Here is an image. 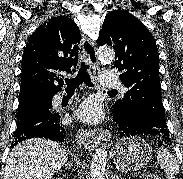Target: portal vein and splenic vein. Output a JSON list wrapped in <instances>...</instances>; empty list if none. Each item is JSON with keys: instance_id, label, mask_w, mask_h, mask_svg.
<instances>
[{"instance_id": "1", "label": "portal vein and splenic vein", "mask_w": 183, "mask_h": 179, "mask_svg": "<svg viewBox=\"0 0 183 179\" xmlns=\"http://www.w3.org/2000/svg\"><path fill=\"white\" fill-rule=\"evenodd\" d=\"M150 176H151V174L147 173V174H145V178L144 179H148V177H150Z\"/></svg>"}]
</instances>
